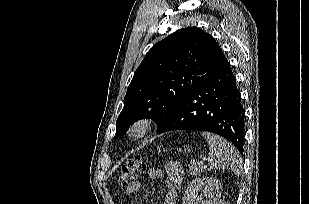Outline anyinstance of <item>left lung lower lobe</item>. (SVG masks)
<instances>
[{
	"label": "left lung lower lobe",
	"instance_id": "left-lung-lower-lobe-1",
	"mask_svg": "<svg viewBox=\"0 0 309 204\" xmlns=\"http://www.w3.org/2000/svg\"><path fill=\"white\" fill-rule=\"evenodd\" d=\"M245 115L236 79L227 61L203 79L157 133L198 130L218 134L244 152Z\"/></svg>",
	"mask_w": 309,
	"mask_h": 204
}]
</instances>
